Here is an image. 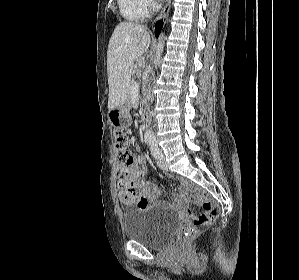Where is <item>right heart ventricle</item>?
Instances as JSON below:
<instances>
[{"label":"right heart ventricle","instance_id":"1","mask_svg":"<svg viewBox=\"0 0 299 280\" xmlns=\"http://www.w3.org/2000/svg\"><path fill=\"white\" fill-rule=\"evenodd\" d=\"M118 5L121 15L128 21H140L148 15L142 0H118Z\"/></svg>","mask_w":299,"mask_h":280}]
</instances>
